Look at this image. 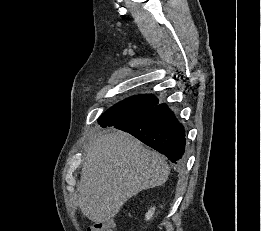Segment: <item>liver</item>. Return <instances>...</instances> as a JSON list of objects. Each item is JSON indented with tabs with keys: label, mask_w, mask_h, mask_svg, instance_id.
Masks as SVG:
<instances>
[{
	"label": "liver",
	"mask_w": 261,
	"mask_h": 231,
	"mask_svg": "<svg viewBox=\"0 0 261 231\" xmlns=\"http://www.w3.org/2000/svg\"><path fill=\"white\" fill-rule=\"evenodd\" d=\"M170 168L164 158L123 131L94 135L78 185L82 213L95 223L108 222L142 190L162 185Z\"/></svg>",
	"instance_id": "liver-1"
}]
</instances>
